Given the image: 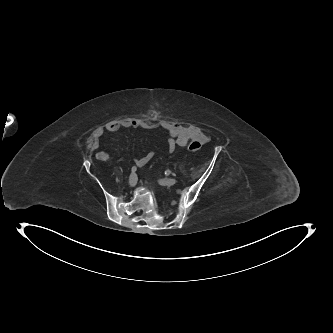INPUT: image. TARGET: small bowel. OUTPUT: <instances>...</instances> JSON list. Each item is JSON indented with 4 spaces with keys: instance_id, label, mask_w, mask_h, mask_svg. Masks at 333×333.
Listing matches in <instances>:
<instances>
[{
    "instance_id": "1",
    "label": "small bowel",
    "mask_w": 333,
    "mask_h": 333,
    "mask_svg": "<svg viewBox=\"0 0 333 333\" xmlns=\"http://www.w3.org/2000/svg\"><path fill=\"white\" fill-rule=\"evenodd\" d=\"M122 128H136L144 130H153L160 128L167 134V149L170 153L174 152L177 147H186L192 140H200L202 143L208 141V136L197 126L188 124H180L172 121H161L160 123H152L142 119H122L119 121H111L106 124L105 129L108 132H116ZM104 129L98 128L94 131L89 147L91 150H97L100 145V139L103 136ZM95 157L99 161H108L111 159L110 154L104 151L95 153ZM154 157V152L150 151L144 156L136 158L135 163L139 167L145 166Z\"/></svg>"
}]
</instances>
